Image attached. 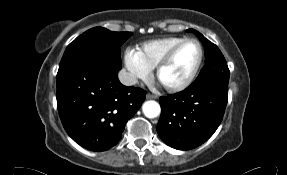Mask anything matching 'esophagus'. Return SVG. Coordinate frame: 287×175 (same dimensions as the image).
<instances>
[{"label":"esophagus","instance_id":"esophagus-1","mask_svg":"<svg viewBox=\"0 0 287 175\" xmlns=\"http://www.w3.org/2000/svg\"><path fill=\"white\" fill-rule=\"evenodd\" d=\"M146 98H147V99H156V98H157V95H155V94H153V93H147Z\"/></svg>","mask_w":287,"mask_h":175}]
</instances>
